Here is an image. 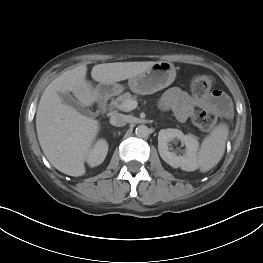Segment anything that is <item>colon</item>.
<instances>
[{
  "label": "colon",
  "instance_id": "5ec220e1",
  "mask_svg": "<svg viewBox=\"0 0 263 263\" xmlns=\"http://www.w3.org/2000/svg\"><path fill=\"white\" fill-rule=\"evenodd\" d=\"M214 80L212 76L208 74L195 75L190 82V88L194 95L199 97H205L213 93ZM193 124L199 129L208 131L215 122L216 115L211 109L198 110L192 117Z\"/></svg>",
  "mask_w": 263,
  "mask_h": 263
}]
</instances>
